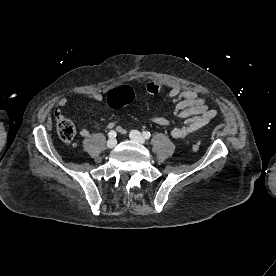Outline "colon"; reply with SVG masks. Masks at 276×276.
Listing matches in <instances>:
<instances>
[{"instance_id": "5ec220e1", "label": "colon", "mask_w": 276, "mask_h": 276, "mask_svg": "<svg viewBox=\"0 0 276 276\" xmlns=\"http://www.w3.org/2000/svg\"><path fill=\"white\" fill-rule=\"evenodd\" d=\"M135 98V92L129 88H121L110 91L107 95V103L111 107H120L124 104L131 103ZM56 130L59 137L66 143L74 140L76 135V128L73 122L68 119L60 108H56L55 112ZM200 149V143L194 142L191 145V150L197 152Z\"/></svg>"}]
</instances>
